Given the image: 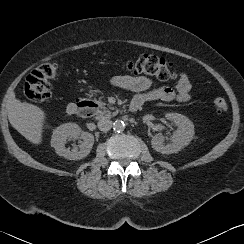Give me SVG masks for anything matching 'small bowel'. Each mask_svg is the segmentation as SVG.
Masks as SVG:
<instances>
[{
  "mask_svg": "<svg viewBox=\"0 0 244 244\" xmlns=\"http://www.w3.org/2000/svg\"><path fill=\"white\" fill-rule=\"evenodd\" d=\"M111 83L135 93L131 103L137 110L147 102L172 100L186 102L190 99L191 83L185 74L181 75L174 88L162 86L151 89L152 81L143 76H115Z\"/></svg>",
  "mask_w": 244,
  "mask_h": 244,
  "instance_id": "obj_1",
  "label": "small bowel"
}]
</instances>
